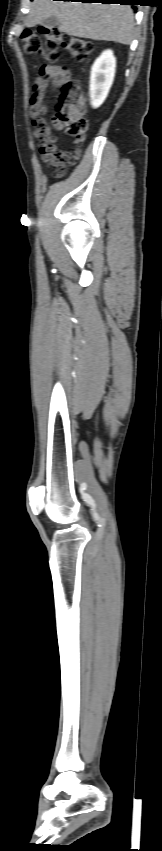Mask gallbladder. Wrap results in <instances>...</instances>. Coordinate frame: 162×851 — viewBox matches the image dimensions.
Wrapping results in <instances>:
<instances>
[{"label":"gallbladder","instance_id":"obj_1","mask_svg":"<svg viewBox=\"0 0 162 851\" xmlns=\"http://www.w3.org/2000/svg\"><path fill=\"white\" fill-rule=\"evenodd\" d=\"M59 24L58 19L55 16H50L48 18H44L41 21V25L44 27H55Z\"/></svg>","mask_w":162,"mask_h":851}]
</instances>
